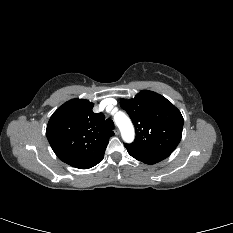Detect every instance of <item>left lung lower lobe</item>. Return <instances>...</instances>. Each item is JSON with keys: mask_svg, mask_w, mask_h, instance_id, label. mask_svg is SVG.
Segmentation results:
<instances>
[{"mask_svg": "<svg viewBox=\"0 0 233 233\" xmlns=\"http://www.w3.org/2000/svg\"><path fill=\"white\" fill-rule=\"evenodd\" d=\"M128 153L134 157L135 159L142 161L146 164H155L158 163L165 158H167L170 154L167 153H158V152H150V151H142L137 149H132L126 146Z\"/></svg>", "mask_w": 233, "mask_h": 233, "instance_id": "1", "label": "left lung lower lobe"}]
</instances>
